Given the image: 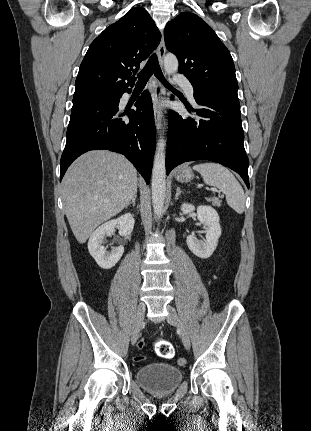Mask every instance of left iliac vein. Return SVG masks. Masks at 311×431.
I'll return each mask as SVG.
<instances>
[{
    "label": "left iliac vein",
    "mask_w": 311,
    "mask_h": 431,
    "mask_svg": "<svg viewBox=\"0 0 311 431\" xmlns=\"http://www.w3.org/2000/svg\"><path fill=\"white\" fill-rule=\"evenodd\" d=\"M167 311H168V316H167L168 323L179 329L180 337L182 339L183 345L185 346L186 349H190L191 342H190L189 334L185 329V327L183 326L176 310L173 307L168 306Z\"/></svg>",
    "instance_id": "1"
}]
</instances>
